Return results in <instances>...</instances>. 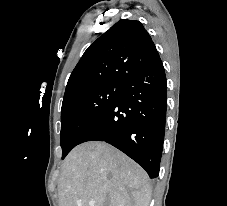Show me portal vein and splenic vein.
<instances>
[{
  "label": "portal vein and splenic vein",
  "mask_w": 227,
  "mask_h": 206,
  "mask_svg": "<svg viewBox=\"0 0 227 206\" xmlns=\"http://www.w3.org/2000/svg\"><path fill=\"white\" fill-rule=\"evenodd\" d=\"M89 204L90 206H94V202H90ZM78 206H81V204H79Z\"/></svg>",
  "instance_id": "portal-vein-and-splenic-vein-1"
}]
</instances>
